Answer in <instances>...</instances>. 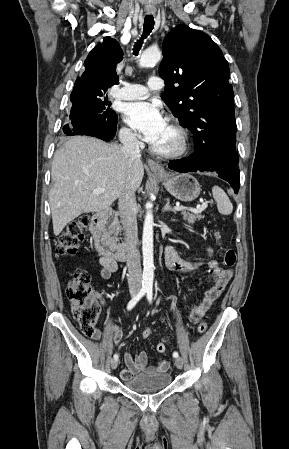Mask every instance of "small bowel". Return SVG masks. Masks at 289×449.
Segmentation results:
<instances>
[{
  "label": "small bowel",
  "instance_id": "small-bowel-1",
  "mask_svg": "<svg viewBox=\"0 0 289 449\" xmlns=\"http://www.w3.org/2000/svg\"><path fill=\"white\" fill-rule=\"evenodd\" d=\"M164 260L170 270L177 272H190L203 264L207 266L214 284L210 289L204 292L202 300L198 304L193 305L190 310L189 320L192 323H196L210 309L213 302L222 294L232 277V271L230 269L219 267L218 263L212 259V250L210 248L206 249L204 261H189L179 257L171 246H167L164 252ZM100 263L103 267L101 271V277L103 279H109L111 275L117 271V263L114 259L101 256ZM110 328L115 342L121 345L123 341L121 329L114 324H112ZM99 337L100 333L97 331L94 338L97 339ZM168 348L169 345L166 343L165 339H162L161 342L156 344V349L162 357L168 355L166 352ZM124 362L126 368L121 371V378L123 380L130 379L141 372H166L169 368L168 361L164 359L160 360L156 366H148V355L145 351H141L135 356L126 352L124 354Z\"/></svg>",
  "mask_w": 289,
  "mask_h": 449
}]
</instances>
